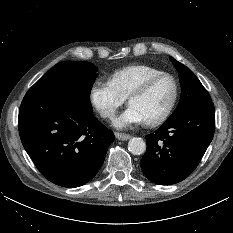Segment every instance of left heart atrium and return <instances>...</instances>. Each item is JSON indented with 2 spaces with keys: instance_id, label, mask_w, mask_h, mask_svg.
Masks as SVG:
<instances>
[{
  "instance_id": "left-heart-atrium-1",
  "label": "left heart atrium",
  "mask_w": 233,
  "mask_h": 233,
  "mask_svg": "<svg viewBox=\"0 0 233 233\" xmlns=\"http://www.w3.org/2000/svg\"><path fill=\"white\" fill-rule=\"evenodd\" d=\"M145 122L146 120L140 111L135 106L129 105L128 108L115 119L114 125L117 128H127Z\"/></svg>"
}]
</instances>
